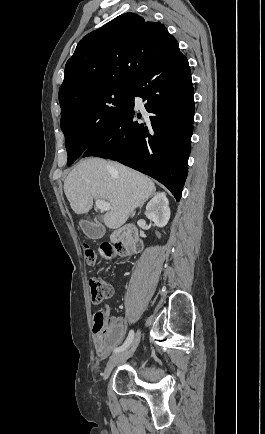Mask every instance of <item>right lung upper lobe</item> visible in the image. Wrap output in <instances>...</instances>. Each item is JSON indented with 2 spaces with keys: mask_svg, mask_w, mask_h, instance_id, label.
I'll list each match as a JSON object with an SVG mask.
<instances>
[{
  "mask_svg": "<svg viewBox=\"0 0 265 434\" xmlns=\"http://www.w3.org/2000/svg\"><path fill=\"white\" fill-rule=\"evenodd\" d=\"M177 44L161 22L135 13L122 14L79 42L65 65L59 97L110 77L136 79Z\"/></svg>",
  "mask_w": 265,
  "mask_h": 434,
  "instance_id": "right-lung-upper-lobe-1",
  "label": "right lung upper lobe"
}]
</instances>
